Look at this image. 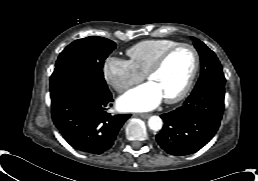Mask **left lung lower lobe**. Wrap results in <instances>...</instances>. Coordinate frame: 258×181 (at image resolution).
<instances>
[{
  "label": "left lung lower lobe",
  "mask_w": 258,
  "mask_h": 181,
  "mask_svg": "<svg viewBox=\"0 0 258 181\" xmlns=\"http://www.w3.org/2000/svg\"><path fill=\"white\" fill-rule=\"evenodd\" d=\"M224 85L191 93L176 110L162 114L164 126L156 140L168 154L184 156L205 146L219 128L224 110Z\"/></svg>",
  "instance_id": "obj_1"
}]
</instances>
